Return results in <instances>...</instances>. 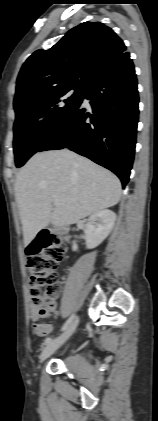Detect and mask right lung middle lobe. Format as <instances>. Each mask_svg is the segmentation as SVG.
<instances>
[{"mask_svg": "<svg viewBox=\"0 0 158 421\" xmlns=\"http://www.w3.org/2000/svg\"><path fill=\"white\" fill-rule=\"evenodd\" d=\"M84 87H66L32 95L14 105V154L21 167L51 137L80 102ZM71 90L75 92L71 94Z\"/></svg>", "mask_w": 158, "mask_h": 421, "instance_id": "right-lung-middle-lobe-1", "label": "right lung middle lobe"}]
</instances>
